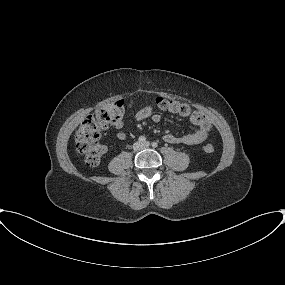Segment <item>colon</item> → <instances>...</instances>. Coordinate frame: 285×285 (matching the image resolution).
<instances>
[{"label":"colon","instance_id":"5ec220e1","mask_svg":"<svg viewBox=\"0 0 285 285\" xmlns=\"http://www.w3.org/2000/svg\"><path fill=\"white\" fill-rule=\"evenodd\" d=\"M155 102L162 110L188 117L195 125H203L206 122L201 112L193 110L187 104L165 98H157ZM124 109V100L102 105L94 114L86 116L80 124L75 136L76 146L89 166L98 165L106 152V147L100 142L102 129L115 124L122 117ZM203 149L206 153H213L215 148L212 144H207Z\"/></svg>","mask_w":285,"mask_h":285}]
</instances>
